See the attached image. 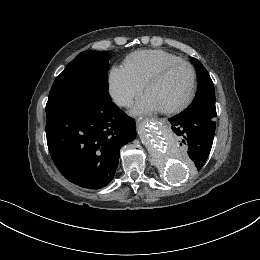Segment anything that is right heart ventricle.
<instances>
[{"label": "right heart ventricle", "instance_id": "right-heart-ventricle-1", "mask_svg": "<svg viewBox=\"0 0 260 260\" xmlns=\"http://www.w3.org/2000/svg\"><path fill=\"white\" fill-rule=\"evenodd\" d=\"M181 60L179 57L162 50H140L129 55L125 68L141 84L161 66Z\"/></svg>", "mask_w": 260, "mask_h": 260}]
</instances>
